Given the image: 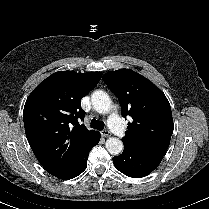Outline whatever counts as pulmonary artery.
Wrapping results in <instances>:
<instances>
[{
	"label": "pulmonary artery",
	"mask_w": 209,
	"mask_h": 209,
	"mask_svg": "<svg viewBox=\"0 0 209 209\" xmlns=\"http://www.w3.org/2000/svg\"><path fill=\"white\" fill-rule=\"evenodd\" d=\"M109 127L112 129V131L117 134V135H122L125 132L123 123L121 119L118 116L117 113V108L113 107L112 113L109 116V121H108Z\"/></svg>",
	"instance_id": "obj_1"
}]
</instances>
